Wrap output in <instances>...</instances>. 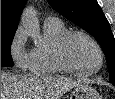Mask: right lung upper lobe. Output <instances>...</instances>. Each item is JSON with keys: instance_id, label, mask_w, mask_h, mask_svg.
Returning <instances> with one entry per match:
<instances>
[{"instance_id": "1", "label": "right lung upper lobe", "mask_w": 115, "mask_h": 99, "mask_svg": "<svg viewBox=\"0 0 115 99\" xmlns=\"http://www.w3.org/2000/svg\"><path fill=\"white\" fill-rule=\"evenodd\" d=\"M27 0H1V32H15Z\"/></svg>"}]
</instances>
